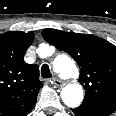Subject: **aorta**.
I'll list each match as a JSON object with an SVG mask.
<instances>
[{
  "mask_svg": "<svg viewBox=\"0 0 116 116\" xmlns=\"http://www.w3.org/2000/svg\"><path fill=\"white\" fill-rule=\"evenodd\" d=\"M39 50H41L39 48ZM53 67L64 79L77 78L78 69L75 63L65 55L58 56ZM62 101L71 108H75L83 101V89L78 83H70L61 90Z\"/></svg>",
  "mask_w": 116,
  "mask_h": 116,
  "instance_id": "1",
  "label": "aorta"
}]
</instances>
